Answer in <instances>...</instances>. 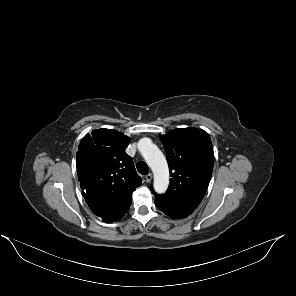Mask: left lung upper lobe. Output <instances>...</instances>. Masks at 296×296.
Here are the masks:
<instances>
[{"label":"left lung upper lobe","mask_w":296,"mask_h":296,"mask_svg":"<svg viewBox=\"0 0 296 296\" xmlns=\"http://www.w3.org/2000/svg\"><path fill=\"white\" fill-rule=\"evenodd\" d=\"M169 165L170 185L164 195L155 193L161 205L195 210L208 188L214 152L207 132L197 128L174 129L159 136Z\"/></svg>","instance_id":"obj_1"}]
</instances>
